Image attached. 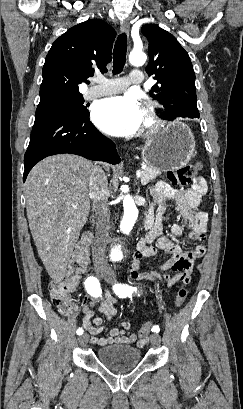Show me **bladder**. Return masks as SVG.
Wrapping results in <instances>:
<instances>
[{
	"instance_id": "1",
	"label": "bladder",
	"mask_w": 243,
	"mask_h": 409,
	"mask_svg": "<svg viewBox=\"0 0 243 409\" xmlns=\"http://www.w3.org/2000/svg\"><path fill=\"white\" fill-rule=\"evenodd\" d=\"M97 360L107 369L123 372L136 367L142 358L139 348L115 343L99 348L96 351Z\"/></svg>"
}]
</instances>
